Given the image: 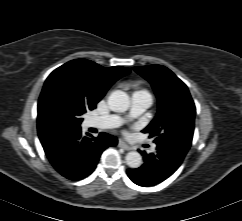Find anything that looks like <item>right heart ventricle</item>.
<instances>
[{
	"label": "right heart ventricle",
	"instance_id": "right-heart-ventricle-1",
	"mask_svg": "<svg viewBox=\"0 0 242 221\" xmlns=\"http://www.w3.org/2000/svg\"><path fill=\"white\" fill-rule=\"evenodd\" d=\"M134 93H144L149 95V93L147 92V90L143 89V88H136ZM150 96V95H149Z\"/></svg>",
	"mask_w": 242,
	"mask_h": 221
}]
</instances>
